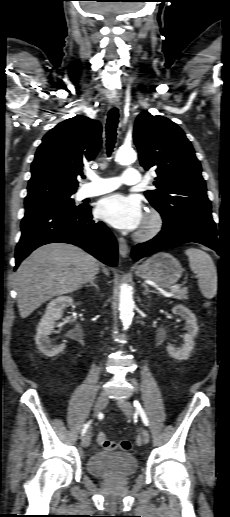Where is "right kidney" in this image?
<instances>
[{"mask_svg": "<svg viewBox=\"0 0 230 517\" xmlns=\"http://www.w3.org/2000/svg\"><path fill=\"white\" fill-rule=\"evenodd\" d=\"M73 304V299L68 296H61L53 299L45 310L38 327L35 342L38 349L46 356L53 357L61 353L65 349V344L53 345L49 339V335L54 329L56 320H59L63 314V310Z\"/></svg>", "mask_w": 230, "mask_h": 517, "instance_id": "1", "label": "right kidney"}]
</instances>
